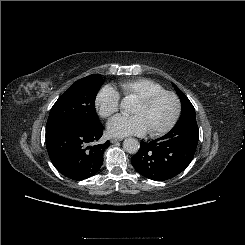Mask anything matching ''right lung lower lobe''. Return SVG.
Instances as JSON below:
<instances>
[{
    "label": "right lung lower lobe",
    "mask_w": 245,
    "mask_h": 245,
    "mask_svg": "<svg viewBox=\"0 0 245 245\" xmlns=\"http://www.w3.org/2000/svg\"><path fill=\"white\" fill-rule=\"evenodd\" d=\"M102 134L103 126L87 128L63 123L46 127L47 151L53 165L62 175L77 181L95 175L109 146V141L94 145Z\"/></svg>",
    "instance_id": "right-lung-lower-lobe-1"
}]
</instances>
